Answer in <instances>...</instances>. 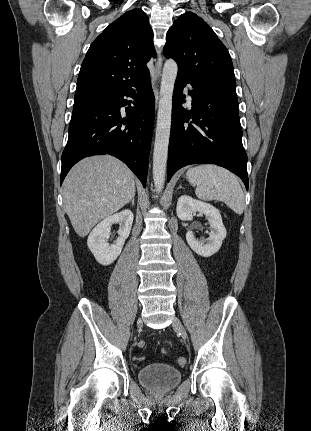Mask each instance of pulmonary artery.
<instances>
[{
	"label": "pulmonary artery",
	"mask_w": 311,
	"mask_h": 431,
	"mask_svg": "<svg viewBox=\"0 0 311 431\" xmlns=\"http://www.w3.org/2000/svg\"><path fill=\"white\" fill-rule=\"evenodd\" d=\"M186 91L189 92L190 88H186ZM189 99L191 100V96L189 95Z\"/></svg>",
	"instance_id": "obj_1"
}]
</instances>
